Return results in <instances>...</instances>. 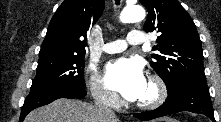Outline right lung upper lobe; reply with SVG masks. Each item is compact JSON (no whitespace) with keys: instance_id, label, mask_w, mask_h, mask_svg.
<instances>
[{"instance_id":"obj_1","label":"right lung upper lobe","mask_w":221,"mask_h":122,"mask_svg":"<svg viewBox=\"0 0 221 122\" xmlns=\"http://www.w3.org/2000/svg\"><path fill=\"white\" fill-rule=\"evenodd\" d=\"M104 9V0H65L54 14L39 59L84 56L87 32Z\"/></svg>"}]
</instances>
